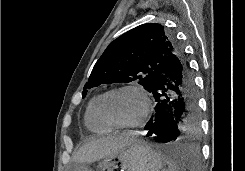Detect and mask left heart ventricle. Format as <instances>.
<instances>
[{
    "instance_id": "b2bd125f",
    "label": "left heart ventricle",
    "mask_w": 245,
    "mask_h": 171,
    "mask_svg": "<svg viewBox=\"0 0 245 171\" xmlns=\"http://www.w3.org/2000/svg\"><path fill=\"white\" fill-rule=\"evenodd\" d=\"M106 115L116 123H131L143 111V100L133 90H123L107 97L104 105Z\"/></svg>"
}]
</instances>
